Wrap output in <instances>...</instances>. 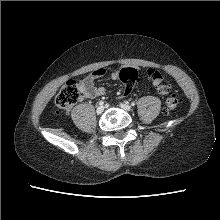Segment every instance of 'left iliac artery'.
I'll list each match as a JSON object with an SVG mask.
<instances>
[{
    "mask_svg": "<svg viewBox=\"0 0 220 220\" xmlns=\"http://www.w3.org/2000/svg\"><path fill=\"white\" fill-rule=\"evenodd\" d=\"M131 105H132V106H135V102H132Z\"/></svg>",
    "mask_w": 220,
    "mask_h": 220,
    "instance_id": "obj_1",
    "label": "left iliac artery"
}]
</instances>
